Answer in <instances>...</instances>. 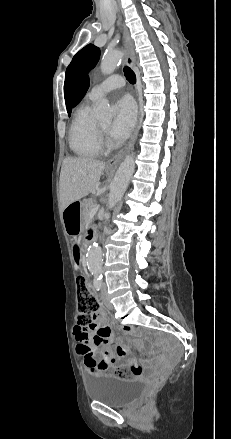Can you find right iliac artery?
Masks as SVG:
<instances>
[{
  "mask_svg": "<svg viewBox=\"0 0 231 439\" xmlns=\"http://www.w3.org/2000/svg\"><path fill=\"white\" fill-rule=\"evenodd\" d=\"M101 279L100 278H97V279H95L94 280V287L96 288V290H100V288H101Z\"/></svg>",
  "mask_w": 231,
  "mask_h": 439,
  "instance_id": "82829eb1",
  "label": "right iliac artery"
}]
</instances>
